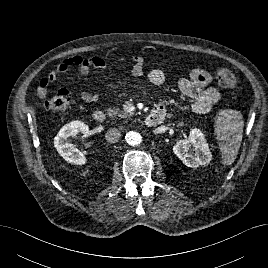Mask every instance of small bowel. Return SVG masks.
<instances>
[{
    "label": "small bowel",
    "instance_id": "small-bowel-1",
    "mask_svg": "<svg viewBox=\"0 0 268 268\" xmlns=\"http://www.w3.org/2000/svg\"><path fill=\"white\" fill-rule=\"evenodd\" d=\"M132 69L131 75L134 78L147 76L150 83L156 86L163 85L166 81V75L161 69H153L146 73L145 60L141 56H133L131 58ZM108 67L107 61L102 57H83L73 56L61 60L55 69L47 76L40 80L37 88L39 97H43L48 91L50 82L56 80L59 75L76 68L83 76L89 75L95 71L106 70ZM211 76L202 69L191 70L189 77H182L178 80V86L181 93L191 100V109L198 114H205L211 111L219 100L218 91L210 86ZM43 88V92H41ZM81 98L87 103L96 101L99 98L98 92L85 91ZM154 110L166 111L163 104H158Z\"/></svg>",
    "mask_w": 268,
    "mask_h": 268
}]
</instances>
